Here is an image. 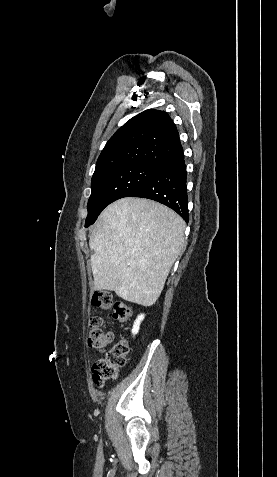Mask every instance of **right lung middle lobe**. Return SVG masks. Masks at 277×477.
Instances as JSON below:
<instances>
[{
  "label": "right lung middle lobe",
  "mask_w": 277,
  "mask_h": 477,
  "mask_svg": "<svg viewBox=\"0 0 277 477\" xmlns=\"http://www.w3.org/2000/svg\"><path fill=\"white\" fill-rule=\"evenodd\" d=\"M157 168L152 165L133 163L94 173L85 227L93 224L102 210L110 203L127 197L140 187L155 173Z\"/></svg>",
  "instance_id": "obj_1"
}]
</instances>
